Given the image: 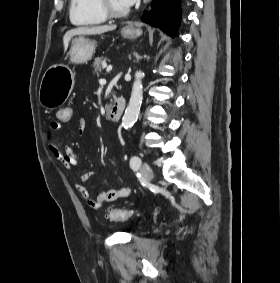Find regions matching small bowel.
<instances>
[{"instance_id":"obj_1","label":"small bowel","mask_w":280,"mask_h":283,"mask_svg":"<svg viewBox=\"0 0 280 283\" xmlns=\"http://www.w3.org/2000/svg\"><path fill=\"white\" fill-rule=\"evenodd\" d=\"M74 114V111H73ZM57 116V115H56ZM73 117V116H71ZM77 126L80 132L84 131L87 126L86 119L83 116H78ZM61 123L57 120L50 123V129L52 131H59L61 129ZM49 150L53 157L57 159L66 169L70 170L79 163V159L73 149L69 146L64 148L60 147L57 143H50ZM93 172H86L80 174L74 178V184L76 189L80 192L82 197L85 199L86 204L89 208L98 210L103 204L115 201L119 198H126L130 195L131 190L129 187H121L117 189H110L101 192L96 198H93L89 190L83 185L84 182L90 180L93 177Z\"/></svg>"}]
</instances>
